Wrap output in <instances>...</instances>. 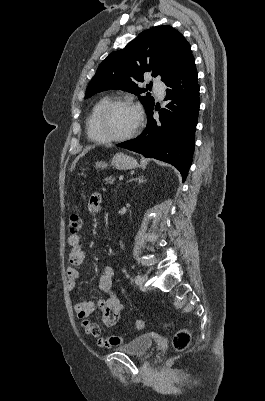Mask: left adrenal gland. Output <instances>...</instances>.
Instances as JSON below:
<instances>
[{
  "instance_id": "a2214340",
  "label": "left adrenal gland",
  "mask_w": 265,
  "mask_h": 401,
  "mask_svg": "<svg viewBox=\"0 0 265 401\" xmlns=\"http://www.w3.org/2000/svg\"><path fill=\"white\" fill-rule=\"evenodd\" d=\"M131 180H136L138 184H141V182H144V176H138V178H131Z\"/></svg>"
}]
</instances>
